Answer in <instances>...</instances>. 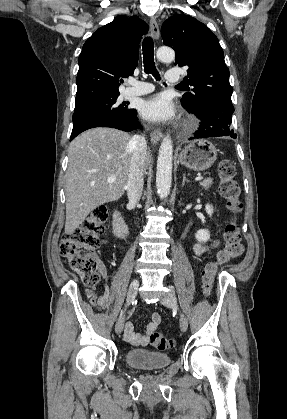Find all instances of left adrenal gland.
<instances>
[{
  "mask_svg": "<svg viewBox=\"0 0 287 419\" xmlns=\"http://www.w3.org/2000/svg\"><path fill=\"white\" fill-rule=\"evenodd\" d=\"M185 182H189V180L186 178L185 174H183V182H182V186L185 185Z\"/></svg>",
  "mask_w": 287,
  "mask_h": 419,
  "instance_id": "obj_1",
  "label": "left adrenal gland"
}]
</instances>
